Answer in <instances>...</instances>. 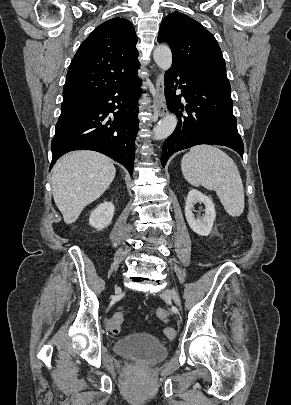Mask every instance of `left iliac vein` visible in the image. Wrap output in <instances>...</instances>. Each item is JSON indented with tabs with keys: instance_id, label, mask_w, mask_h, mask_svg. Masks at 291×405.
Here are the masks:
<instances>
[{
	"instance_id": "left-iliac-vein-1",
	"label": "left iliac vein",
	"mask_w": 291,
	"mask_h": 405,
	"mask_svg": "<svg viewBox=\"0 0 291 405\" xmlns=\"http://www.w3.org/2000/svg\"><path fill=\"white\" fill-rule=\"evenodd\" d=\"M163 297H169L171 298L175 304L177 306H180V298L178 296V294L176 293V291L172 290V289H166L162 292L161 294Z\"/></svg>"
}]
</instances>
